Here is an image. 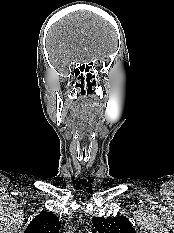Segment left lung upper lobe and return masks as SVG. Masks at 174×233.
<instances>
[{
    "instance_id": "obj_1",
    "label": "left lung upper lobe",
    "mask_w": 174,
    "mask_h": 233,
    "mask_svg": "<svg viewBox=\"0 0 174 233\" xmlns=\"http://www.w3.org/2000/svg\"><path fill=\"white\" fill-rule=\"evenodd\" d=\"M92 223L99 233H136L132 224L124 216L94 217Z\"/></svg>"
}]
</instances>
